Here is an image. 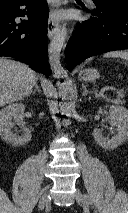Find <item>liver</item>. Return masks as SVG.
Segmentation results:
<instances>
[{"instance_id": "6515ba94", "label": "liver", "mask_w": 128, "mask_h": 213, "mask_svg": "<svg viewBox=\"0 0 128 213\" xmlns=\"http://www.w3.org/2000/svg\"><path fill=\"white\" fill-rule=\"evenodd\" d=\"M35 84V72L29 66L0 58V107L29 96Z\"/></svg>"}]
</instances>
